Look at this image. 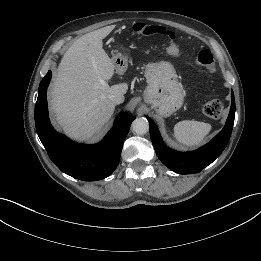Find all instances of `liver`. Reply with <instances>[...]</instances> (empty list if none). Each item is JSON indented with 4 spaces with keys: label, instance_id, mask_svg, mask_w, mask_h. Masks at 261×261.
Masks as SVG:
<instances>
[{
    "label": "liver",
    "instance_id": "liver-1",
    "mask_svg": "<svg viewBox=\"0 0 261 261\" xmlns=\"http://www.w3.org/2000/svg\"><path fill=\"white\" fill-rule=\"evenodd\" d=\"M107 28L87 33L64 54L50 95L56 121L76 139L97 133L111 118L115 104L111 94L124 95L127 83L109 86L115 65L102 47Z\"/></svg>",
    "mask_w": 261,
    "mask_h": 261
}]
</instances>
